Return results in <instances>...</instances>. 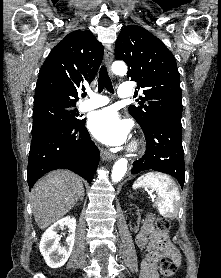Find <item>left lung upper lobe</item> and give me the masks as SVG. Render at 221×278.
<instances>
[{"label":"left lung upper lobe","instance_id":"1","mask_svg":"<svg viewBox=\"0 0 221 278\" xmlns=\"http://www.w3.org/2000/svg\"><path fill=\"white\" fill-rule=\"evenodd\" d=\"M115 58L128 64L127 77L145 95L140 106L129 107L143 130L161 118L181 121L179 72L175 57L161 40L140 26H127L116 40Z\"/></svg>","mask_w":221,"mask_h":278}]
</instances>
